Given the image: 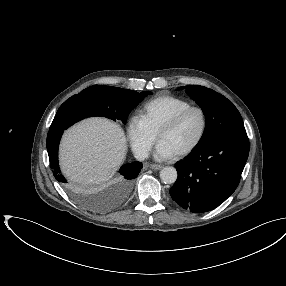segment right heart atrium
Instances as JSON below:
<instances>
[{
	"mask_svg": "<svg viewBox=\"0 0 286 286\" xmlns=\"http://www.w3.org/2000/svg\"><path fill=\"white\" fill-rule=\"evenodd\" d=\"M127 134L133 151L141 158L147 157L156 140V134L141 116L131 117L127 125Z\"/></svg>",
	"mask_w": 286,
	"mask_h": 286,
	"instance_id": "right-heart-atrium-1",
	"label": "right heart atrium"
}]
</instances>
